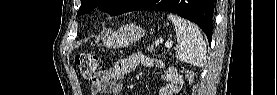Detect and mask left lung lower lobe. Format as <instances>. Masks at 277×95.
<instances>
[{
  "instance_id": "left-lung-lower-lobe-1",
  "label": "left lung lower lobe",
  "mask_w": 277,
  "mask_h": 95,
  "mask_svg": "<svg viewBox=\"0 0 277 95\" xmlns=\"http://www.w3.org/2000/svg\"><path fill=\"white\" fill-rule=\"evenodd\" d=\"M162 0H145L135 10H166L196 23L211 40L216 0H171L161 6Z\"/></svg>"
}]
</instances>
